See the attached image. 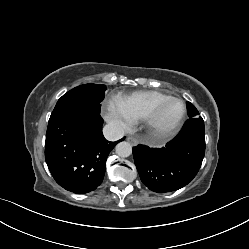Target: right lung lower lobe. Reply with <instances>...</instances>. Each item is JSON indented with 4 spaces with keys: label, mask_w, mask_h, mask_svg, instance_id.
Here are the masks:
<instances>
[{
    "label": "right lung lower lobe",
    "mask_w": 249,
    "mask_h": 249,
    "mask_svg": "<svg viewBox=\"0 0 249 249\" xmlns=\"http://www.w3.org/2000/svg\"><path fill=\"white\" fill-rule=\"evenodd\" d=\"M102 124L95 108L70 110L48 123L45 160L55 181L66 190L83 194L101 184L108 154L119 142L104 138Z\"/></svg>",
    "instance_id": "obj_1"
}]
</instances>
